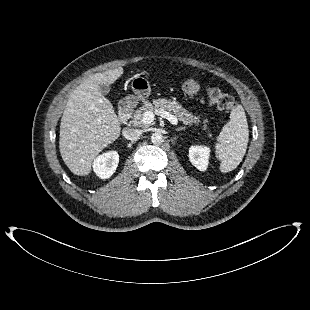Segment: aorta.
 <instances>
[{"instance_id":"762f6f07","label":"aorta","mask_w":310,"mask_h":310,"mask_svg":"<svg viewBox=\"0 0 310 310\" xmlns=\"http://www.w3.org/2000/svg\"><path fill=\"white\" fill-rule=\"evenodd\" d=\"M163 141H164V138H163L162 134H160V133H153L151 135V142L154 145H160L161 143H163Z\"/></svg>"}]
</instances>
